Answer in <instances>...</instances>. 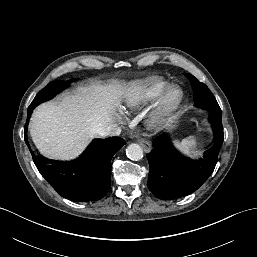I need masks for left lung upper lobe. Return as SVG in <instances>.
<instances>
[{
	"label": "left lung upper lobe",
	"instance_id": "left-lung-upper-lobe-1",
	"mask_svg": "<svg viewBox=\"0 0 257 257\" xmlns=\"http://www.w3.org/2000/svg\"><path fill=\"white\" fill-rule=\"evenodd\" d=\"M185 76L190 80L194 90V102L199 107L206 109L210 112H220L221 109L211 91L208 87L199 82L194 76L186 73Z\"/></svg>",
	"mask_w": 257,
	"mask_h": 257
}]
</instances>
